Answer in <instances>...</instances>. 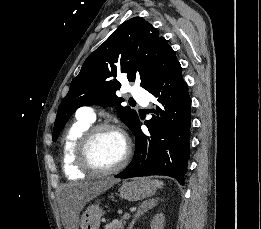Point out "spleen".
I'll list each match as a JSON object with an SVG mask.
<instances>
[{"label": "spleen", "instance_id": "1", "mask_svg": "<svg viewBox=\"0 0 261 229\" xmlns=\"http://www.w3.org/2000/svg\"><path fill=\"white\" fill-rule=\"evenodd\" d=\"M155 185L158 187V189H163L164 183L163 181H155Z\"/></svg>", "mask_w": 261, "mask_h": 229}]
</instances>
